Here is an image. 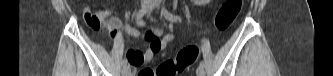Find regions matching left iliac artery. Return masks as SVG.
Wrapping results in <instances>:
<instances>
[{
    "label": "left iliac artery",
    "mask_w": 333,
    "mask_h": 76,
    "mask_svg": "<svg viewBox=\"0 0 333 76\" xmlns=\"http://www.w3.org/2000/svg\"><path fill=\"white\" fill-rule=\"evenodd\" d=\"M162 15L168 19V20H171L173 22H181V18L176 16V15H173L172 13H170L166 8H162ZM199 67H202L204 68V62L201 61L200 64H199Z\"/></svg>",
    "instance_id": "44dca946"
}]
</instances>
